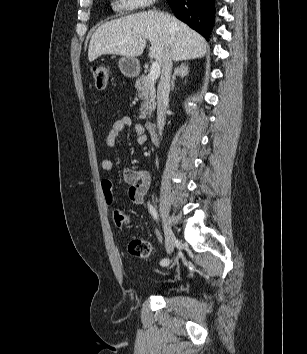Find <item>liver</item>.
Returning a JSON list of instances; mask_svg holds the SVG:
<instances>
[{"label": "liver", "mask_w": 307, "mask_h": 354, "mask_svg": "<svg viewBox=\"0 0 307 354\" xmlns=\"http://www.w3.org/2000/svg\"><path fill=\"white\" fill-rule=\"evenodd\" d=\"M150 41L149 57L162 65L166 49L172 60L201 58L208 49L206 40L176 17L158 11H145L102 24L93 33L88 60L101 55L140 56Z\"/></svg>", "instance_id": "1"}]
</instances>
